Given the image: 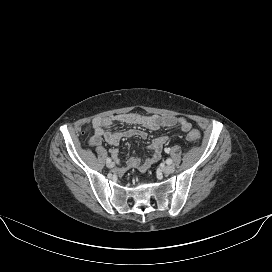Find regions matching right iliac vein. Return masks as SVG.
Here are the masks:
<instances>
[{
	"label": "right iliac vein",
	"mask_w": 272,
	"mask_h": 272,
	"mask_svg": "<svg viewBox=\"0 0 272 272\" xmlns=\"http://www.w3.org/2000/svg\"><path fill=\"white\" fill-rule=\"evenodd\" d=\"M114 166H115V164L113 162L107 163V167L108 168H113Z\"/></svg>",
	"instance_id": "right-iliac-vein-1"
}]
</instances>
